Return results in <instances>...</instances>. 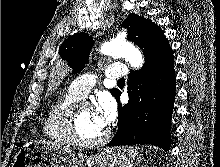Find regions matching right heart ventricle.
<instances>
[{"label": "right heart ventricle", "instance_id": "1", "mask_svg": "<svg viewBox=\"0 0 220 167\" xmlns=\"http://www.w3.org/2000/svg\"><path fill=\"white\" fill-rule=\"evenodd\" d=\"M78 99V96L68 90L50 104L42 128L47 139L59 145L71 144L65 135L62 122L67 109Z\"/></svg>", "mask_w": 220, "mask_h": 167}]
</instances>
